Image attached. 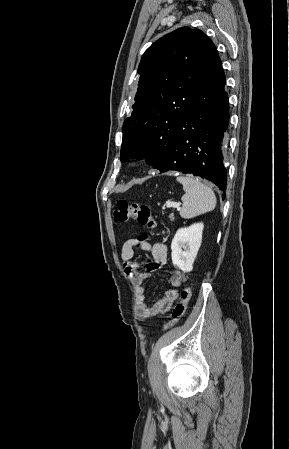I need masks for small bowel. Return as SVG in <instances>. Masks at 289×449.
<instances>
[{"label":"small bowel","mask_w":289,"mask_h":449,"mask_svg":"<svg viewBox=\"0 0 289 449\" xmlns=\"http://www.w3.org/2000/svg\"><path fill=\"white\" fill-rule=\"evenodd\" d=\"M135 248L149 252L152 256L153 261L146 265V270H142L139 262L133 260ZM121 258L124 262L126 273L136 285V310L138 318L144 320L157 314L168 312L178 299V288L185 281V276L181 271H172L170 283L174 288L167 290L164 296L158 301L149 305L145 294V281L151 277V272L168 266L167 246L161 242L151 244L148 240L129 239L122 246Z\"/></svg>","instance_id":"obj_1"}]
</instances>
